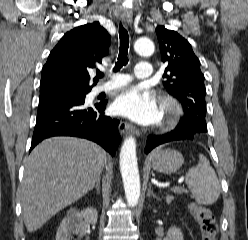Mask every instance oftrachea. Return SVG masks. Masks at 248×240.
<instances>
[{
	"mask_svg": "<svg viewBox=\"0 0 248 240\" xmlns=\"http://www.w3.org/2000/svg\"><path fill=\"white\" fill-rule=\"evenodd\" d=\"M119 38H120V47H119V56L118 61L116 62V65L114 67V72H117L120 70V68L123 65H126L128 62L127 54H128V48H129V34L126 28L120 23L119 26ZM96 76L98 78L103 77V73L97 72Z\"/></svg>",
	"mask_w": 248,
	"mask_h": 240,
	"instance_id": "obj_1",
	"label": "trachea"
}]
</instances>
